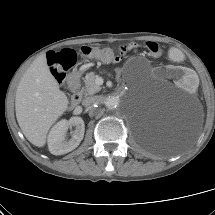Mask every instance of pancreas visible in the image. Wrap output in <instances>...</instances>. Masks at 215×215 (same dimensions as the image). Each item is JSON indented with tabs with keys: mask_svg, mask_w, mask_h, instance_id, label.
<instances>
[{
	"mask_svg": "<svg viewBox=\"0 0 215 215\" xmlns=\"http://www.w3.org/2000/svg\"><path fill=\"white\" fill-rule=\"evenodd\" d=\"M96 78L97 75L95 74V72L86 74L84 79L85 86L81 89L82 94H84L85 96L93 95L102 89L100 85L96 84Z\"/></svg>",
	"mask_w": 215,
	"mask_h": 215,
	"instance_id": "obj_1",
	"label": "pancreas"
}]
</instances>
